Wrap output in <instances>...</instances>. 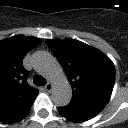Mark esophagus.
<instances>
[{"mask_svg": "<svg viewBox=\"0 0 128 128\" xmlns=\"http://www.w3.org/2000/svg\"><path fill=\"white\" fill-rule=\"evenodd\" d=\"M52 87H53L52 83L48 82V83L45 85V90H46L47 92H51V91H52Z\"/></svg>", "mask_w": 128, "mask_h": 128, "instance_id": "obj_1", "label": "esophagus"}]
</instances>
